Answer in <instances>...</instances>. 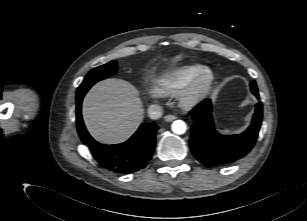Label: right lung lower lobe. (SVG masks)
<instances>
[{"label":"right lung lower lobe","mask_w":307,"mask_h":221,"mask_svg":"<svg viewBox=\"0 0 307 221\" xmlns=\"http://www.w3.org/2000/svg\"><path fill=\"white\" fill-rule=\"evenodd\" d=\"M83 97L77 98L76 121L81 141L88 146L98 163L119 174L133 173L143 169L155 148L158 126L155 122L142 124L138 131L126 142L117 145H102L87 132L81 116Z\"/></svg>","instance_id":"98d812e1"}]
</instances>
